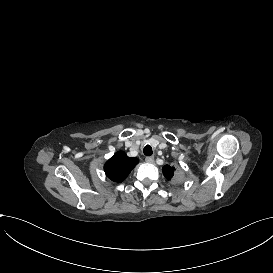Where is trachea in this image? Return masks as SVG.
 Returning <instances> with one entry per match:
<instances>
[{
  "label": "trachea",
  "mask_w": 273,
  "mask_h": 273,
  "mask_svg": "<svg viewBox=\"0 0 273 273\" xmlns=\"http://www.w3.org/2000/svg\"><path fill=\"white\" fill-rule=\"evenodd\" d=\"M143 152L146 156H151L153 154L152 147L150 145H146Z\"/></svg>",
  "instance_id": "3493384b"
}]
</instances>
